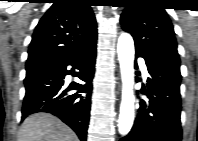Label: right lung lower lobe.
<instances>
[{"label":"right lung lower lobe","instance_id":"obj_1","mask_svg":"<svg viewBox=\"0 0 198 141\" xmlns=\"http://www.w3.org/2000/svg\"><path fill=\"white\" fill-rule=\"evenodd\" d=\"M97 36L85 42L78 50L64 58L28 69L24 80L26 94L22 120L37 112H48L69 125L81 139L87 137L90 117L92 79L95 71ZM68 66L73 68L69 71ZM74 69L85 84L64 87V78ZM74 75V74H73ZM71 89L78 90L69 94Z\"/></svg>","mask_w":198,"mask_h":141}]
</instances>
